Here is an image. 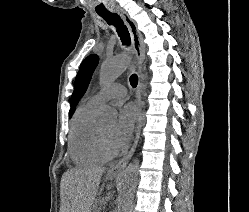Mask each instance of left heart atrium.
Segmentation results:
<instances>
[{
    "instance_id": "39dd6f15",
    "label": "left heart atrium",
    "mask_w": 249,
    "mask_h": 212,
    "mask_svg": "<svg viewBox=\"0 0 249 212\" xmlns=\"http://www.w3.org/2000/svg\"><path fill=\"white\" fill-rule=\"evenodd\" d=\"M137 119L138 113L134 105L126 104L120 108L110 135V145L113 150L121 151L126 147Z\"/></svg>"
}]
</instances>
